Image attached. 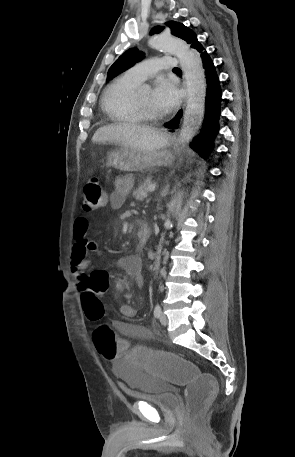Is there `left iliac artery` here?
Masks as SVG:
<instances>
[{"label": "left iliac artery", "instance_id": "1", "mask_svg": "<svg viewBox=\"0 0 295 457\" xmlns=\"http://www.w3.org/2000/svg\"><path fill=\"white\" fill-rule=\"evenodd\" d=\"M160 315H161V307H160L159 304H157V305L155 306V308H154V316H155L156 318H159Z\"/></svg>", "mask_w": 295, "mask_h": 457}]
</instances>
